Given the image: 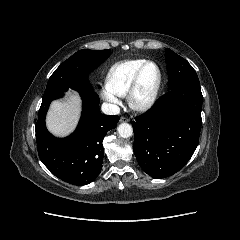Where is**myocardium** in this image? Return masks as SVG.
<instances>
[{"mask_svg":"<svg viewBox=\"0 0 240 240\" xmlns=\"http://www.w3.org/2000/svg\"><path fill=\"white\" fill-rule=\"evenodd\" d=\"M149 65H152L156 68L157 79L153 88L149 92V94L145 97H139L138 91H139L141 76L143 74L144 69ZM162 78L163 77H162V71L160 66L154 61H145L136 71L131 81V84L129 86V89L127 92V100H128L129 106L133 110L139 111V112H144L149 110L157 100V97L159 95V92L162 86Z\"/></svg>","mask_w":240,"mask_h":240,"instance_id":"myocardium-1","label":"myocardium"}]
</instances>
